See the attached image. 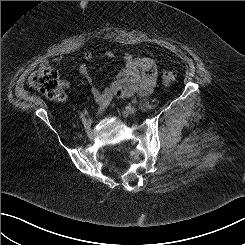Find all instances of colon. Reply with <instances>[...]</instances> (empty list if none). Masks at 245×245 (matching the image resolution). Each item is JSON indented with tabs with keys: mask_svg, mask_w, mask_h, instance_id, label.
<instances>
[{
	"mask_svg": "<svg viewBox=\"0 0 245 245\" xmlns=\"http://www.w3.org/2000/svg\"><path fill=\"white\" fill-rule=\"evenodd\" d=\"M177 75L173 70H164L161 74L162 84L166 87L176 82ZM29 85L51 99H59L63 92L59 86L56 70L48 65H43L35 70L28 79Z\"/></svg>",
	"mask_w": 245,
	"mask_h": 245,
	"instance_id": "1",
	"label": "colon"
}]
</instances>
